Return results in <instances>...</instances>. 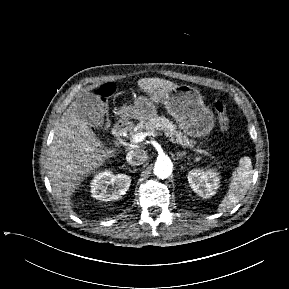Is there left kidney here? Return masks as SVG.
Masks as SVG:
<instances>
[{
  "label": "left kidney",
  "instance_id": "obj_1",
  "mask_svg": "<svg viewBox=\"0 0 289 289\" xmlns=\"http://www.w3.org/2000/svg\"><path fill=\"white\" fill-rule=\"evenodd\" d=\"M187 178L192 190L203 198L212 197L219 188V174L214 169H193Z\"/></svg>",
  "mask_w": 289,
  "mask_h": 289
}]
</instances>
